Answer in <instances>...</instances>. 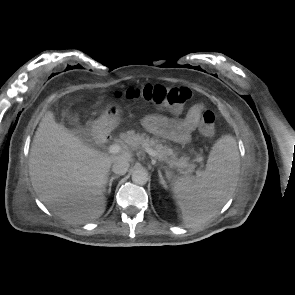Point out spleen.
<instances>
[{
	"label": "spleen",
	"mask_w": 295,
	"mask_h": 295,
	"mask_svg": "<svg viewBox=\"0 0 295 295\" xmlns=\"http://www.w3.org/2000/svg\"><path fill=\"white\" fill-rule=\"evenodd\" d=\"M239 162L235 139L225 135L214 144L204 171L174 181L172 190L186 226L204 224L230 199L238 182Z\"/></svg>",
	"instance_id": "spleen-1"
}]
</instances>
